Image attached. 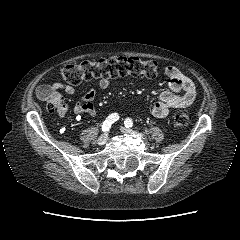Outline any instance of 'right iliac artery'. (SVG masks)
<instances>
[{"label":"right iliac artery","instance_id":"82829eb1","mask_svg":"<svg viewBox=\"0 0 240 240\" xmlns=\"http://www.w3.org/2000/svg\"><path fill=\"white\" fill-rule=\"evenodd\" d=\"M119 119V115L117 113L110 114L106 120L102 124V131L106 132L109 131L111 125Z\"/></svg>","mask_w":240,"mask_h":240}]
</instances>
